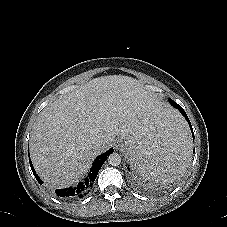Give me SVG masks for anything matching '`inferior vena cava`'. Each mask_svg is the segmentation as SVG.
<instances>
[{
	"label": "inferior vena cava",
	"instance_id": "inferior-vena-cava-1",
	"mask_svg": "<svg viewBox=\"0 0 227 227\" xmlns=\"http://www.w3.org/2000/svg\"><path fill=\"white\" fill-rule=\"evenodd\" d=\"M105 146V143L103 140H96L92 142V147L96 150H100Z\"/></svg>",
	"mask_w": 227,
	"mask_h": 227
}]
</instances>
